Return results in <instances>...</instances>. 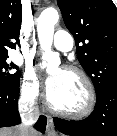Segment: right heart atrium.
<instances>
[{
	"mask_svg": "<svg viewBox=\"0 0 117 136\" xmlns=\"http://www.w3.org/2000/svg\"><path fill=\"white\" fill-rule=\"evenodd\" d=\"M21 98L28 104L37 102L41 95V82L34 72L25 71L21 82Z\"/></svg>",
	"mask_w": 117,
	"mask_h": 136,
	"instance_id": "right-heart-atrium-1",
	"label": "right heart atrium"
}]
</instances>
